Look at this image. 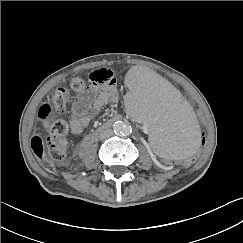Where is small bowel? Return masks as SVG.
Masks as SVG:
<instances>
[{
    "instance_id": "small-bowel-1",
    "label": "small bowel",
    "mask_w": 243,
    "mask_h": 243,
    "mask_svg": "<svg viewBox=\"0 0 243 243\" xmlns=\"http://www.w3.org/2000/svg\"><path fill=\"white\" fill-rule=\"evenodd\" d=\"M118 99L116 79L110 85L91 83L89 88L82 92L73 102L70 117L71 133L75 135L80 134L90 124L94 115L107 104L116 103Z\"/></svg>"
}]
</instances>
